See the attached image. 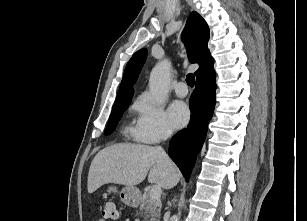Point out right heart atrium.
I'll return each instance as SVG.
<instances>
[{"label": "right heart atrium", "instance_id": "obj_1", "mask_svg": "<svg viewBox=\"0 0 307 221\" xmlns=\"http://www.w3.org/2000/svg\"><path fill=\"white\" fill-rule=\"evenodd\" d=\"M138 112L137 137L144 143H158L170 138L174 129L163 107L150 96L143 95L136 103Z\"/></svg>", "mask_w": 307, "mask_h": 221}]
</instances>
